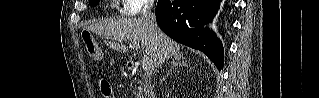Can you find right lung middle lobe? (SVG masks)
<instances>
[{"instance_id": "obj_1", "label": "right lung middle lobe", "mask_w": 319, "mask_h": 98, "mask_svg": "<svg viewBox=\"0 0 319 98\" xmlns=\"http://www.w3.org/2000/svg\"><path fill=\"white\" fill-rule=\"evenodd\" d=\"M89 4L91 6H96L97 4H99V0H89Z\"/></svg>"}]
</instances>
